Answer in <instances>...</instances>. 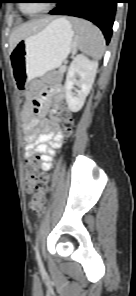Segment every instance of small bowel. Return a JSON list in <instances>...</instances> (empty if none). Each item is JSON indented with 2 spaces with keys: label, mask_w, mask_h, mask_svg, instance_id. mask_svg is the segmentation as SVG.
Listing matches in <instances>:
<instances>
[{
  "label": "small bowel",
  "mask_w": 136,
  "mask_h": 296,
  "mask_svg": "<svg viewBox=\"0 0 136 296\" xmlns=\"http://www.w3.org/2000/svg\"><path fill=\"white\" fill-rule=\"evenodd\" d=\"M64 88L61 84L51 85L42 91L39 98L33 99L26 96V104L21 112L23 133L26 141L25 159H30L34 154L40 155L41 168L47 171L51 167L52 157L56 149L61 147L63 133L61 118L58 115L64 101ZM51 106L47 117L44 112Z\"/></svg>",
  "instance_id": "c3829d8e"
}]
</instances>
